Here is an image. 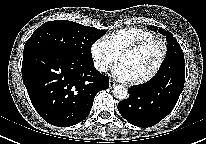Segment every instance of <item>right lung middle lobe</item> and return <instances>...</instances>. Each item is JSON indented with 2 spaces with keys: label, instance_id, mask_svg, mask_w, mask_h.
Wrapping results in <instances>:
<instances>
[{
  "label": "right lung middle lobe",
  "instance_id": "right-lung-middle-lobe-1",
  "mask_svg": "<svg viewBox=\"0 0 206 144\" xmlns=\"http://www.w3.org/2000/svg\"><path fill=\"white\" fill-rule=\"evenodd\" d=\"M104 34L103 30L72 21H49L37 28L27 40L23 54L47 50L92 61L91 47Z\"/></svg>",
  "mask_w": 206,
  "mask_h": 144
}]
</instances>
